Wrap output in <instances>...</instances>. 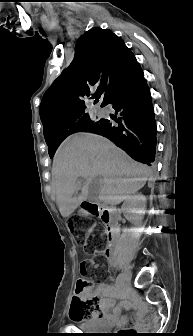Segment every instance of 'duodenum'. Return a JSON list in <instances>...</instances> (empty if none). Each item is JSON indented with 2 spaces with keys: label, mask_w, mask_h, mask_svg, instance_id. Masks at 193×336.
<instances>
[{
  "label": "duodenum",
  "mask_w": 193,
  "mask_h": 336,
  "mask_svg": "<svg viewBox=\"0 0 193 336\" xmlns=\"http://www.w3.org/2000/svg\"><path fill=\"white\" fill-rule=\"evenodd\" d=\"M83 207L94 216L100 218L105 225L107 244L105 256L107 260L113 261L117 244V230L119 226L116 208L99 203L84 202Z\"/></svg>",
  "instance_id": "duodenum-1"
}]
</instances>
